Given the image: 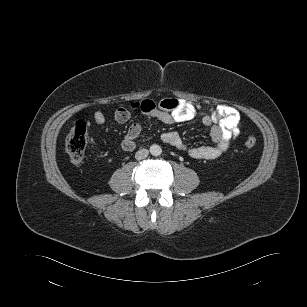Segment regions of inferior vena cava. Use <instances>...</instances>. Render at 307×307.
<instances>
[{"instance_id":"inferior-vena-cava-1","label":"inferior vena cava","mask_w":307,"mask_h":307,"mask_svg":"<svg viewBox=\"0 0 307 307\" xmlns=\"http://www.w3.org/2000/svg\"><path fill=\"white\" fill-rule=\"evenodd\" d=\"M149 154V151L147 149H140L136 152L135 154V158L137 160H142V159H145Z\"/></svg>"}]
</instances>
